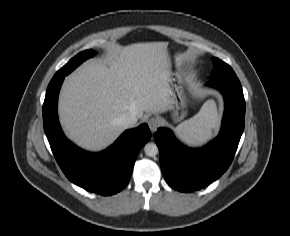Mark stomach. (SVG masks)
I'll return each instance as SVG.
<instances>
[{
  "mask_svg": "<svg viewBox=\"0 0 290 236\" xmlns=\"http://www.w3.org/2000/svg\"><path fill=\"white\" fill-rule=\"evenodd\" d=\"M167 82L171 93L168 110L171 112L174 121H180L187 115L189 107L184 82L182 78L175 76L173 73H170Z\"/></svg>",
  "mask_w": 290,
  "mask_h": 236,
  "instance_id": "obj_1",
  "label": "stomach"
}]
</instances>
